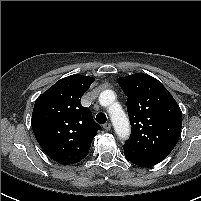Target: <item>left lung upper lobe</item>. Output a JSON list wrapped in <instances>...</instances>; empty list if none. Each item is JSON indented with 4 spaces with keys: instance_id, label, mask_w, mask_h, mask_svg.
<instances>
[{
    "instance_id": "1",
    "label": "left lung upper lobe",
    "mask_w": 201,
    "mask_h": 201,
    "mask_svg": "<svg viewBox=\"0 0 201 201\" xmlns=\"http://www.w3.org/2000/svg\"><path fill=\"white\" fill-rule=\"evenodd\" d=\"M128 97L131 136L123 146L125 157L138 166H153L175 147L182 127V112L169 91L157 79L136 73L119 78Z\"/></svg>"
}]
</instances>
